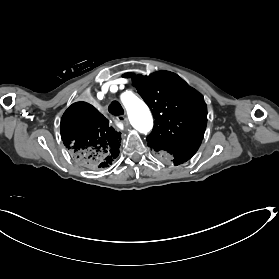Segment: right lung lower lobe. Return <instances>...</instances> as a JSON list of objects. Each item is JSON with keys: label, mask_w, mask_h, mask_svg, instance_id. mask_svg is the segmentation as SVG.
<instances>
[{"label": "right lung lower lobe", "mask_w": 279, "mask_h": 279, "mask_svg": "<svg viewBox=\"0 0 279 279\" xmlns=\"http://www.w3.org/2000/svg\"><path fill=\"white\" fill-rule=\"evenodd\" d=\"M60 133L73 159L84 168L109 167L119 155L121 132L86 102H76L65 111Z\"/></svg>", "instance_id": "obj_1"}]
</instances>
